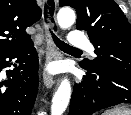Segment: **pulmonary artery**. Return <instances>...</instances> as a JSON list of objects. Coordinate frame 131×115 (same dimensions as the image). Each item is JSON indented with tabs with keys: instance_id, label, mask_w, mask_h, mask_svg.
Listing matches in <instances>:
<instances>
[{
	"instance_id": "1",
	"label": "pulmonary artery",
	"mask_w": 131,
	"mask_h": 115,
	"mask_svg": "<svg viewBox=\"0 0 131 115\" xmlns=\"http://www.w3.org/2000/svg\"><path fill=\"white\" fill-rule=\"evenodd\" d=\"M69 45L72 47L87 48L93 51V47L90 44L88 37L78 30H72L69 37Z\"/></svg>"
}]
</instances>
